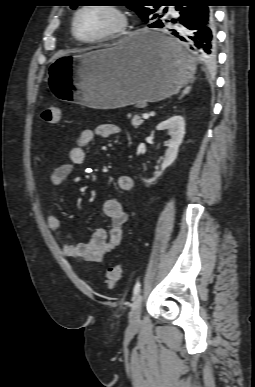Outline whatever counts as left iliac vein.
<instances>
[{
  "mask_svg": "<svg viewBox=\"0 0 255 387\" xmlns=\"http://www.w3.org/2000/svg\"><path fill=\"white\" fill-rule=\"evenodd\" d=\"M142 301H143V297L141 294H138L134 298L130 317H129L131 328L137 327L140 323L141 312H142Z\"/></svg>",
  "mask_w": 255,
  "mask_h": 387,
  "instance_id": "left-iliac-vein-1",
  "label": "left iliac vein"
}]
</instances>
